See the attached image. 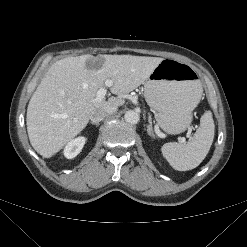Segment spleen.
Wrapping results in <instances>:
<instances>
[{
  "instance_id": "spleen-1",
  "label": "spleen",
  "mask_w": 247,
  "mask_h": 247,
  "mask_svg": "<svg viewBox=\"0 0 247 247\" xmlns=\"http://www.w3.org/2000/svg\"><path fill=\"white\" fill-rule=\"evenodd\" d=\"M212 113L206 111L200 119V126L187 144L169 142L161 147V152L169 164L178 171L196 168L205 159L214 139Z\"/></svg>"
}]
</instances>
